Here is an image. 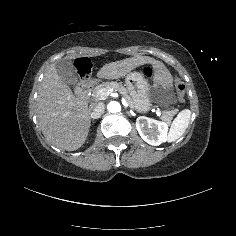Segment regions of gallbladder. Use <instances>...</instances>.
<instances>
[{"mask_svg":"<svg viewBox=\"0 0 236 236\" xmlns=\"http://www.w3.org/2000/svg\"><path fill=\"white\" fill-rule=\"evenodd\" d=\"M55 68L58 76L68 85H74L78 82V77L75 74L74 65L69 58H61L56 61Z\"/></svg>","mask_w":236,"mask_h":236,"instance_id":"1","label":"gallbladder"}]
</instances>
